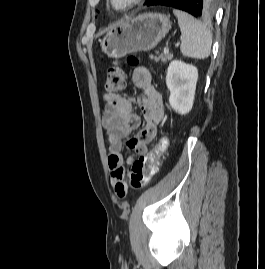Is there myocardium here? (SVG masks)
Wrapping results in <instances>:
<instances>
[{
	"instance_id": "1",
	"label": "myocardium",
	"mask_w": 265,
	"mask_h": 269,
	"mask_svg": "<svg viewBox=\"0 0 265 269\" xmlns=\"http://www.w3.org/2000/svg\"><path fill=\"white\" fill-rule=\"evenodd\" d=\"M142 1L143 0H127L123 5H117L116 0H109V3L115 11L125 12V11H128V10L134 8Z\"/></svg>"
}]
</instances>
